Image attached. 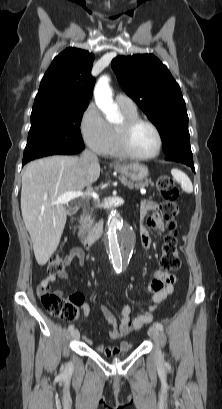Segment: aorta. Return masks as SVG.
Instances as JSON below:
<instances>
[{
	"label": "aorta",
	"mask_w": 222,
	"mask_h": 409,
	"mask_svg": "<svg viewBox=\"0 0 222 409\" xmlns=\"http://www.w3.org/2000/svg\"><path fill=\"white\" fill-rule=\"evenodd\" d=\"M94 98L96 105L109 122L118 120V108L113 102L107 76H102L98 80L94 89ZM133 237L132 228L118 216L116 211H112L107 222V244L115 267H120L122 262L131 255Z\"/></svg>",
	"instance_id": "1"
}]
</instances>
